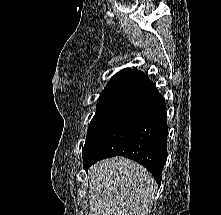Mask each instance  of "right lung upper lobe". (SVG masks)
Wrapping results in <instances>:
<instances>
[{
	"mask_svg": "<svg viewBox=\"0 0 221 215\" xmlns=\"http://www.w3.org/2000/svg\"><path fill=\"white\" fill-rule=\"evenodd\" d=\"M152 88H154V84L143 72L123 69L110 80L99 100L100 102L109 100L132 101Z\"/></svg>",
	"mask_w": 221,
	"mask_h": 215,
	"instance_id": "right-lung-upper-lobe-1",
	"label": "right lung upper lobe"
}]
</instances>
